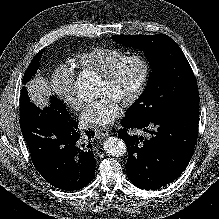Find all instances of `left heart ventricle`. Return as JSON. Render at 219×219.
Masks as SVG:
<instances>
[{
  "instance_id": "b2bd125f",
  "label": "left heart ventricle",
  "mask_w": 219,
  "mask_h": 219,
  "mask_svg": "<svg viewBox=\"0 0 219 219\" xmlns=\"http://www.w3.org/2000/svg\"><path fill=\"white\" fill-rule=\"evenodd\" d=\"M141 75L142 67L140 63L129 61L120 69L111 82L99 81L97 95L99 97L110 96L122 105L135 91Z\"/></svg>"
}]
</instances>
